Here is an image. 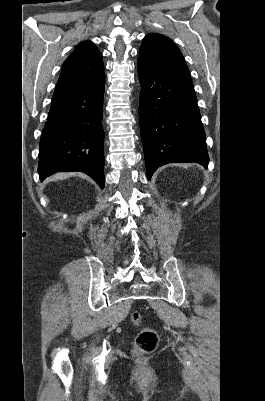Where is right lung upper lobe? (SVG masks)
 Returning <instances> with one entry per match:
<instances>
[{
	"label": "right lung upper lobe",
	"mask_w": 265,
	"mask_h": 401,
	"mask_svg": "<svg viewBox=\"0 0 265 401\" xmlns=\"http://www.w3.org/2000/svg\"><path fill=\"white\" fill-rule=\"evenodd\" d=\"M104 82L102 54L92 42L84 41L63 63L52 99L91 91Z\"/></svg>",
	"instance_id": "right-lung-upper-lobe-1"
}]
</instances>
